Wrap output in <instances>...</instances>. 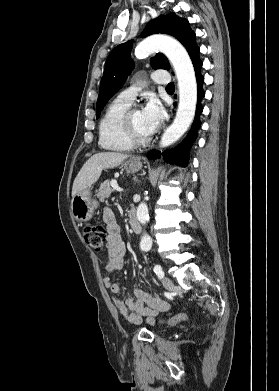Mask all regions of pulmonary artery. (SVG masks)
I'll return each instance as SVG.
<instances>
[{
    "label": "pulmonary artery",
    "instance_id": "1",
    "mask_svg": "<svg viewBox=\"0 0 279 391\" xmlns=\"http://www.w3.org/2000/svg\"><path fill=\"white\" fill-rule=\"evenodd\" d=\"M153 81L155 83H168L170 81V75L165 71H156L155 74L152 77ZM139 87L136 85H133L125 90H123L119 96L123 99H126L128 101H133L139 91Z\"/></svg>",
    "mask_w": 279,
    "mask_h": 391
}]
</instances>
